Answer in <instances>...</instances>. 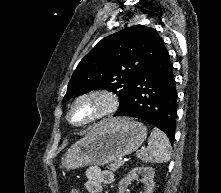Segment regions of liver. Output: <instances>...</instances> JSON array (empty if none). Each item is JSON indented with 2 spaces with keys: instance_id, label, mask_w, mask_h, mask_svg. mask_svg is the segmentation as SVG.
Instances as JSON below:
<instances>
[{
  "instance_id": "6515ba94",
  "label": "liver",
  "mask_w": 221,
  "mask_h": 193,
  "mask_svg": "<svg viewBox=\"0 0 221 193\" xmlns=\"http://www.w3.org/2000/svg\"><path fill=\"white\" fill-rule=\"evenodd\" d=\"M117 120H118V118H110V119H107L106 122H107L108 124H111V123H113V122H115V121H117Z\"/></svg>"
}]
</instances>
